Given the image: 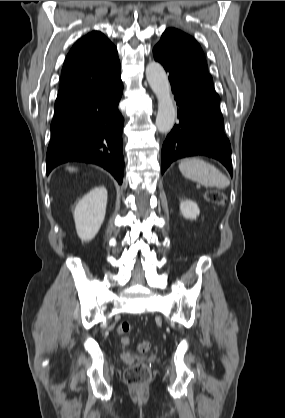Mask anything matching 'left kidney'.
Instances as JSON below:
<instances>
[{"label":"left kidney","instance_id":"left-kidney-1","mask_svg":"<svg viewBox=\"0 0 285 418\" xmlns=\"http://www.w3.org/2000/svg\"><path fill=\"white\" fill-rule=\"evenodd\" d=\"M180 211L186 219H196L200 214L197 203L192 200H183L180 202Z\"/></svg>","mask_w":285,"mask_h":418}]
</instances>
